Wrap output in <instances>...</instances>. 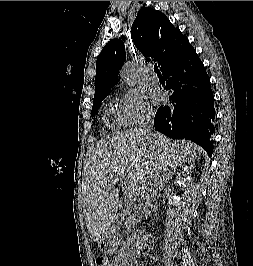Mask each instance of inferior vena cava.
<instances>
[{
	"label": "inferior vena cava",
	"instance_id": "inferior-vena-cava-1",
	"mask_svg": "<svg viewBox=\"0 0 253 266\" xmlns=\"http://www.w3.org/2000/svg\"><path fill=\"white\" fill-rule=\"evenodd\" d=\"M153 113H148L143 116L141 132L147 139L152 140V125H153ZM147 182V181H146ZM157 182H158V173L156 172L155 176L151 175V179L147 182L145 186V191H143L142 200H145V206H150L151 201L155 199L157 194ZM148 213L150 211L148 210Z\"/></svg>",
	"mask_w": 253,
	"mask_h": 266
}]
</instances>
